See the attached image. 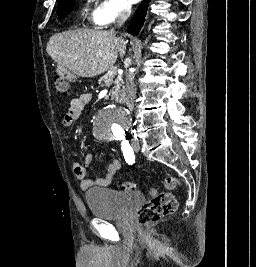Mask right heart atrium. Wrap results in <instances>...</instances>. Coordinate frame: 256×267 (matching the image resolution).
Instances as JSON below:
<instances>
[{
	"label": "right heart atrium",
	"instance_id": "d8ad5b80",
	"mask_svg": "<svg viewBox=\"0 0 256 267\" xmlns=\"http://www.w3.org/2000/svg\"><path fill=\"white\" fill-rule=\"evenodd\" d=\"M124 18L123 12H118L113 16H103L99 11H95L93 14V22L98 28H107L119 19Z\"/></svg>",
	"mask_w": 256,
	"mask_h": 267
}]
</instances>
